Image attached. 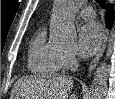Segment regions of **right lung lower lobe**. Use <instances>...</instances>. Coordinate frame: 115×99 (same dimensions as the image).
Instances as JSON below:
<instances>
[{"label": "right lung lower lobe", "instance_id": "98d812e1", "mask_svg": "<svg viewBox=\"0 0 115 99\" xmlns=\"http://www.w3.org/2000/svg\"><path fill=\"white\" fill-rule=\"evenodd\" d=\"M105 21L107 27L111 28L114 21V8L112 5H108L106 9Z\"/></svg>", "mask_w": 115, "mask_h": 99}]
</instances>
